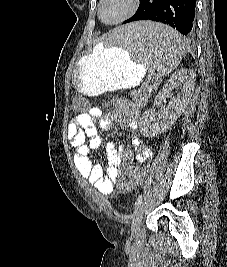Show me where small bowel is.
<instances>
[{
    "instance_id": "c3829d8e",
    "label": "small bowel",
    "mask_w": 227,
    "mask_h": 267,
    "mask_svg": "<svg viewBox=\"0 0 227 267\" xmlns=\"http://www.w3.org/2000/svg\"><path fill=\"white\" fill-rule=\"evenodd\" d=\"M126 124L133 129L138 128V108L128 100H121L115 110L105 112L92 107L88 111L74 115L67 129L69 143L75 148L73 163L82 176L103 193H111L116 184L119 168L129 163L134 157L138 162L145 163L152 156L150 148L137 136L129 138L128 145H118L114 142L106 144L107 168H103L88 158L90 150L102 145L98 130L108 131L113 123Z\"/></svg>"
}]
</instances>
